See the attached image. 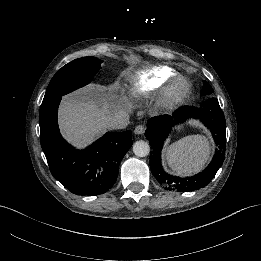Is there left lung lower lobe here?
Listing matches in <instances>:
<instances>
[{"label": "left lung lower lobe", "instance_id": "1", "mask_svg": "<svg viewBox=\"0 0 261 261\" xmlns=\"http://www.w3.org/2000/svg\"><path fill=\"white\" fill-rule=\"evenodd\" d=\"M188 118H199L210 129L218 149L205 170L194 176L183 178L173 176L163 169L161 150L164 140L173 126L185 122ZM145 136L152 147V152H150L152 174L158 183L168 190L189 192L205 187L213 179L225 159L226 122L216 98L206 100L200 107L183 106L176 110L172 116L162 115L150 118L147 122Z\"/></svg>", "mask_w": 261, "mask_h": 261}]
</instances>
